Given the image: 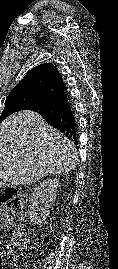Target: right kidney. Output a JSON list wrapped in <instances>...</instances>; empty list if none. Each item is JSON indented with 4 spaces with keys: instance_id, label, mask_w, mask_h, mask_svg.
<instances>
[{
    "instance_id": "obj_1",
    "label": "right kidney",
    "mask_w": 118,
    "mask_h": 269,
    "mask_svg": "<svg viewBox=\"0 0 118 269\" xmlns=\"http://www.w3.org/2000/svg\"><path fill=\"white\" fill-rule=\"evenodd\" d=\"M58 187L59 180L49 178L40 182L31 190L28 210L30 219L34 224H40L46 220L50 208L55 202Z\"/></svg>"
}]
</instances>
